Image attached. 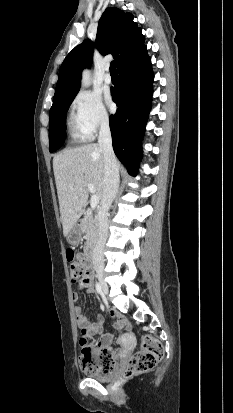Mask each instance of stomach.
Masks as SVG:
<instances>
[{
  "label": "stomach",
  "mask_w": 233,
  "mask_h": 413,
  "mask_svg": "<svg viewBox=\"0 0 233 413\" xmlns=\"http://www.w3.org/2000/svg\"><path fill=\"white\" fill-rule=\"evenodd\" d=\"M82 239V230L80 225L75 224L67 235V241L71 245H78Z\"/></svg>",
  "instance_id": "1"
}]
</instances>
